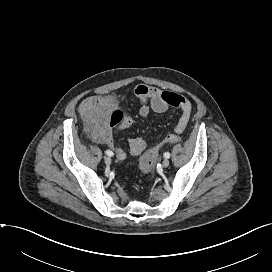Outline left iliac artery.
<instances>
[{
	"instance_id": "obj_1",
	"label": "left iliac artery",
	"mask_w": 272,
	"mask_h": 272,
	"mask_svg": "<svg viewBox=\"0 0 272 272\" xmlns=\"http://www.w3.org/2000/svg\"><path fill=\"white\" fill-rule=\"evenodd\" d=\"M164 157H165L166 159H168V158L170 157V153H169V152H165V153H164Z\"/></svg>"
}]
</instances>
